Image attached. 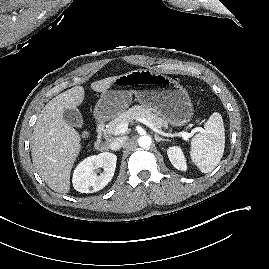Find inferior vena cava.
Here are the masks:
<instances>
[{
  "label": "inferior vena cava",
  "mask_w": 269,
  "mask_h": 269,
  "mask_svg": "<svg viewBox=\"0 0 269 269\" xmlns=\"http://www.w3.org/2000/svg\"><path fill=\"white\" fill-rule=\"evenodd\" d=\"M126 138L125 137H119L115 138L109 145L111 150H119L125 143Z\"/></svg>",
  "instance_id": "obj_1"
}]
</instances>
